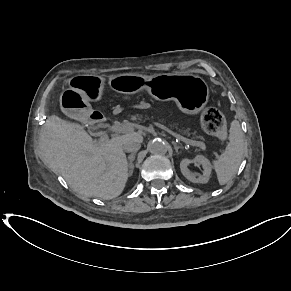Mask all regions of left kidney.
<instances>
[{"label":"left kidney","mask_w":291,"mask_h":291,"mask_svg":"<svg viewBox=\"0 0 291 291\" xmlns=\"http://www.w3.org/2000/svg\"><path fill=\"white\" fill-rule=\"evenodd\" d=\"M191 163H197L199 165H202L203 174L198 176V177L195 174H193L188 168V166ZM180 169H181V172L184 175V177H186L189 181H191L193 183L204 184V183H207L209 181L210 174L212 171V166L207 158H205L202 155H198L195 157L194 160L183 159L180 162Z\"/></svg>","instance_id":"left-kidney-1"}]
</instances>
